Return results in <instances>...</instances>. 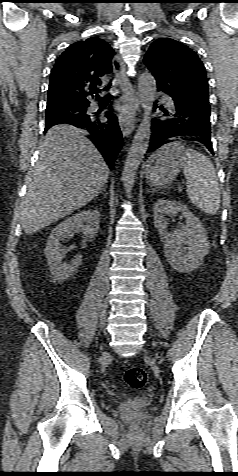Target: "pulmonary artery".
<instances>
[{
    "mask_svg": "<svg viewBox=\"0 0 238 476\" xmlns=\"http://www.w3.org/2000/svg\"><path fill=\"white\" fill-rule=\"evenodd\" d=\"M164 102H165L166 105H168V106H170V107L173 106V101H172L171 99H169V98H165V99H164Z\"/></svg>",
    "mask_w": 238,
    "mask_h": 476,
    "instance_id": "obj_1",
    "label": "pulmonary artery"
}]
</instances>
